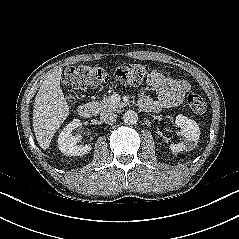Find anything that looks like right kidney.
Here are the masks:
<instances>
[{"instance_id":"obj_1","label":"right kidney","mask_w":239,"mask_h":239,"mask_svg":"<svg viewBox=\"0 0 239 239\" xmlns=\"http://www.w3.org/2000/svg\"><path fill=\"white\" fill-rule=\"evenodd\" d=\"M79 119H74L62 130L58 137V148L66 156H82L90 152L91 145H77L78 137L72 135V131L81 126Z\"/></svg>"}]
</instances>
